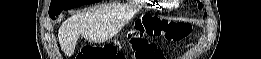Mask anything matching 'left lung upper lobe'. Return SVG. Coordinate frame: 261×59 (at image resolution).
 Wrapping results in <instances>:
<instances>
[{
	"instance_id": "1",
	"label": "left lung upper lobe",
	"mask_w": 261,
	"mask_h": 59,
	"mask_svg": "<svg viewBox=\"0 0 261 59\" xmlns=\"http://www.w3.org/2000/svg\"><path fill=\"white\" fill-rule=\"evenodd\" d=\"M198 7H199V9H201L203 7L202 3H199ZM205 15H206V13H205Z\"/></svg>"
}]
</instances>
